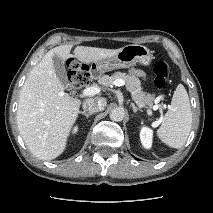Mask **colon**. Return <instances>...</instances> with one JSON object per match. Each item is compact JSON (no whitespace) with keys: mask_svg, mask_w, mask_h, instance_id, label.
I'll return each mask as SVG.
<instances>
[{"mask_svg":"<svg viewBox=\"0 0 213 213\" xmlns=\"http://www.w3.org/2000/svg\"><path fill=\"white\" fill-rule=\"evenodd\" d=\"M154 84L158 89L165 87L168 75V66L165 62L159 61L155 63L153 67ZM89 74L85 70L84 66L73 62L70 65V71L68 73V81L70 90L75 93L82 87L89 83Z\"/></svg>","mask_w":213,"mask_h":213,"instance_id":"colon-1","label":"colon"}]
</instances>
